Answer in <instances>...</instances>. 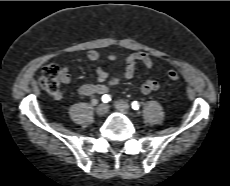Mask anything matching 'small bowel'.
I'll use <instances>...</instances> for the list:
<instances>
[{"label": "small bowel", "instance_id": "obj_1", "mask_svg": "<svg viewBox=\"0 0 230 186\" xmlns=\"http://www.w3.org/2000/svg\"><path fill=\"white\" fill-rule=\"evenodd\" d=\"M87 58L91 62H99L101 55L98 51L91 50L87 53ZM106 58L109 61H116L118 56L116 54H108ZM142 63L145 67L150 68L153 65L151 56L145 52H135L125 57V70L122 77L109 78L108 73L98 66L96 69V81L94 83H86L78 88V93L81 96H91L97 94H105L112 87L117 85L121 79L129 80L133 78L135 74L136 64ZM61 81L64 84L70 82V74L67 68H63L61 71ZM160 88V82L155 79H147L141 84V91L143 94H150L157 91ZM57 99H61L62 95L57 94Z\"/></svg>", "mask_w": 230, "mask_h": 186}]
</instances>
